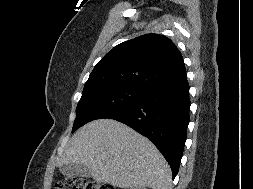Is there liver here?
I'll return each instance as SVG.
<instances>
[{
    "label": "liver",
    "mask_w": 253,
    "mask_h": 189,
    "mask_svg": "<svg viewBox=\"0 0 253 189\" xmlns=\"http://www.w3.org/2000/svg\"><path fill=\"white\" fill-rule=\"evenodd\" d=\"M82 164L97 182L119 188L168 189L171 169L146 137L112 119L92 121L76 131L58 167Z\"/></svg>",
    "instance_id": "liver-1"
}]
</instances>
